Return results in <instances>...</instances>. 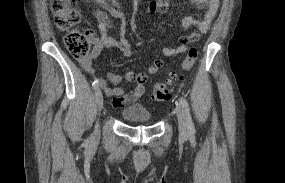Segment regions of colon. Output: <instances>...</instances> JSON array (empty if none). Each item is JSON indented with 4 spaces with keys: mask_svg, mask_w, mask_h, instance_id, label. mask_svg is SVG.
Returning <instances> with one entry per match:
<instances>
[{
    "mask_svg": "<svg viewBox=\"0 0 285 183\" xmlns=\"http://www.w3.org/2000/svg\"><path fill=\"white\" fill-rule=\"evenodd\" d=\"M51 10L57 28L67 32L64 44L69 53L76 59H87L93 45L97 42V37L91 30L76 28L81 16L74 6V0H51ZM198 54V49L191 47L181 63L180 71L172 72L165 79L157 82L151 90V98L158 102L168 100L176 82L182 79L184 72L192 68Z\"/></svg>",
    "mask_w": 285,
    "mask_h": 183,
    "instance_id": "1",
    "label": "colon"
}]
</instances>
